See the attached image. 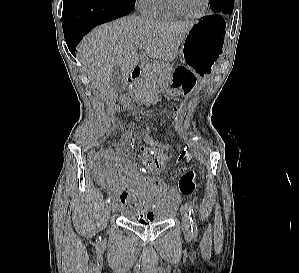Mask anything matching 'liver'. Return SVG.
Wrapping results in <instances>:
<instances>
[{"label":"liver","mask_w":299,"mask_h":273,"mask_svg":"<svg viewBox=\"0 0 299 273\" xmlns=\"http://www.w3.org/2000/svg\"><path fill=\"white\" fill-rule=\"evenodd\" d=\"M195 22H167L128 16L92 30L77 48V58L105 100L116 99L127 87L126 79L139 64L137 44L156 61L166 63L178 54ZM123 71L119 92L111 85L114 69Z\"/></svg>","instance_id":"liver-1"}]
</instances>
